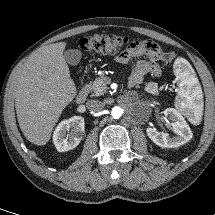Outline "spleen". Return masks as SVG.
<instances>
[{
	"label": "spleen",
	"instance_id": "1",
	"mask_svg": "<svg viewBox=\"0 0 215 215\" xmlns=\"http://www.w3.org/2000/svg\"><path fill=\"white\" fill-rule=\"evenodd\" d=\"M188 62L183 58H177L174 63V72L178 79V96L175 106L184 115L198 113L202 109V91L197 78L188 68Z\"/></svg>",
	"mask_w": 215,
	"mask_h": 215
}]
</instances>
